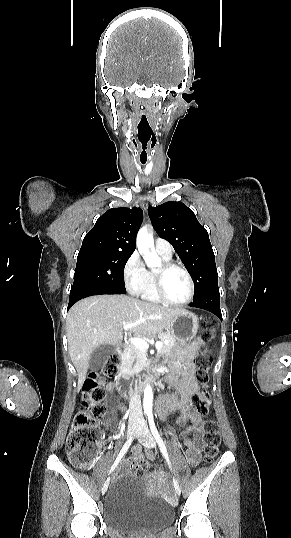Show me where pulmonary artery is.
Returning <instances> with one entry per match:
<instances>
[{
	"label": "pulmonary artery",
	"mask_w": 291,
	"mask_h": 538,
	"mask_svg": "<svg viewBox=\"0 0 291 538\" xmlns=\"http://www.w3.org/2000/svg\"><path fill=\"white\" fill-rule=\"evenodd\" d=\"M154 247H155L156 252L166 257L172 256L173 249H172L171 244L168 241L158 238L155 240Z\"/></svg>",
	"instance_id": "pulmonary-artery-1"
}]
</instances>
